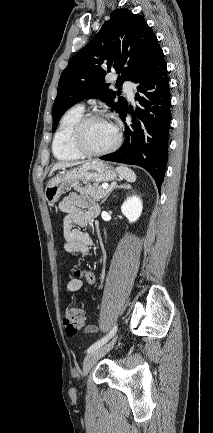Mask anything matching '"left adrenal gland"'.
Wrapping results in <instances>:
<instances>
[{
    "mask_svg": "<svg viewBox=\"0 0 213 433\" xmlns=\"http://www.w3.org/2000/svg\"><path fill=\"white\" fill-rule=\"evenodd\" d=\"M130 186L128 185V184H124V185H120V186H118V185H114L111 189H110V191L108 192V194L106 195V197L104 198V200H102V204L107 200V198L110 196V194L115 190V189H117V188H121V189H128Z\"/></svg>",
    "mask_w": 213,
    "mask_h": 433,
    "instance_id": "1",
    "label": "left adrenal gland"
}]
</instances>
